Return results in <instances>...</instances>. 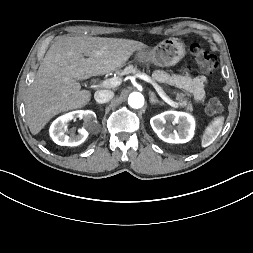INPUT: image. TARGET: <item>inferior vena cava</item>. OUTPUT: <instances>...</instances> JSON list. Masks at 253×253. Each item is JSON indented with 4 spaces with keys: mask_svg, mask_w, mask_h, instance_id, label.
Instances as JSON below:
<instances>
[{
    "mask_svg": "<svg viewBox=\"0 0 253 253\" xmlns=\"http://www.w3.org/2000/svg\"><path fill=\"white\" fill-rule=\"evenodd\" d=\"M113 97L114 92L111 90H99L94 94L95 101L100 104L109 102Z\"/></svg>",
    "mask_w": 253,
    "mask_h": 253,
    "instance_id": "1",
    "label": "inferior vena cava"
}]
</instances>
